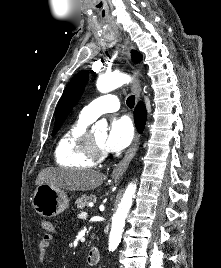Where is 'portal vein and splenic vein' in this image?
<instances>
[{
	"instance_id": "obj_1",
	"label": "portal vein and splenic vein",
	"mask_w": 221,
	"mask_h": 268,
	"mask_svg": "<svg viewBox=\"0 0 221 268\" xmlns=\"http://www.w3.org/2000/svg\"><path fill=\"white\" fill-rule=\"evenodd\" d=\"M87 215H88L87 212H81V214H80V218H86Z\"/></svg>"
}]
</instances>
